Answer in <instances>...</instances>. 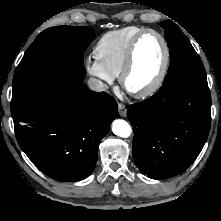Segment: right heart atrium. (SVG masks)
Returning a JSON list of instances; mask_svg holds the SVG:
<instances>
[{"label":"right heart atrium","mask_w":221,"mask_h":221,"mask_svg":"<svg viewBox=\"0 0 221 221\" xmlns=\"http://www.w3.org/2000/svg\"><path fill=\"white\" fill-rule=\"evenodd\" d=\"M86 69L90 75L98 78L103 84H112L114 81V76L96 58H87Z\"/></svg>","instance_id":"1"}]
</instances>
